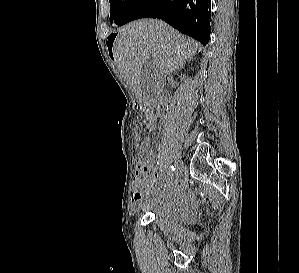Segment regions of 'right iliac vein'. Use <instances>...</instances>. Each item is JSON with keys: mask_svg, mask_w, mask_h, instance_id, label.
<instances>
[{"mask_svg": "<svg viewBox=\"0 0 299 273\" xmlns=\"http://www.w3.org/2000/svg\"><path fill=\"white\" fill-rule=\"evenodd\" d=\"M182 171H183V163L181 160H178L176 164V171H175L176 180L180 177Z\"/></svg>", "mask_w": 299, "mask_h": 273, "instance_id": "63e3f726", "label": "right iliac vein"}]
</instances>
